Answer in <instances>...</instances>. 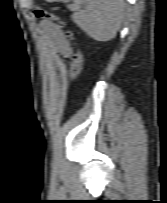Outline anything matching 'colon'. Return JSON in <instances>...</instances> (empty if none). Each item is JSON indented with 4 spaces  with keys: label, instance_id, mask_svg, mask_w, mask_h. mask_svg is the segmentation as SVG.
I'll list each match as a JSON object with an SVG mask.
<instances>
[{
    "label": "colon",
    "instance_id": "obj_1",
    "mask_svg": "<svg viewBox=\"0 0 167 203\" xmlns=\"http://www.w3.org/2000/svg\"><path fill=\"white\" fill-rule=\"evenodd\" d=\"M33 13H34L35 17H37V18H42L46 21H49V22L56 24L62 30L63 35L76 48V52L73 55L74 68H73V72H72V76H71L72 83L75 84L76 81L78 80L80 74L82 73L84 58H83L82 52L77 47L74 33L67 26V24L64 20H62L57 15H55L54 13H52L48 10H45L43 8H40V7H36Z\"/></svg>",
    "mask_w": 167,
    "mask_h": 203
}]
</instances>
